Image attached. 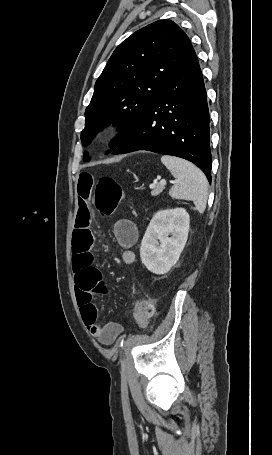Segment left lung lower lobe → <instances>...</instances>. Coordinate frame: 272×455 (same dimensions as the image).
I'll list each match as a JSON object with an SVG mask.
<instances>
[{
    "instance_id": "0a47b994",
    "label": "left lung lower lobe",
    "mask_w": 272,
    "mask_h": 455,
    "mask_svg": "<svg viewBox=\"0 0 272 455\" xmlns=\"http://www.w3.org/2000/svg\"><path fill=\"white\" fill-rule=\"evenodd\" d=\"M137 150L189 160L211 182L209 111L197 57L168 81L113 153Z\"/></svg>"
}]
</instances>
